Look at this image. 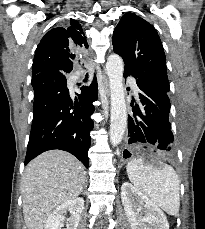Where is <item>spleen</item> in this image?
Here are the masks:
<instances>
[{
  "mask_svg": "<svg viewBox=\"0 0 205 229\" xmlns=\"http://www.w3.org/2000/svg\"><path fill=\"white\" fill-rule=\"evenodd\" d=\"M129 180L170 215H176L180 208V181L171 166L153 168L142 159L131 160L127 166Z\"/></svg>",
  "mask_w": 205,
  "mask_h": 229,
  "instance_id": "1",
  "label": "spleen"
}]
</instances>
